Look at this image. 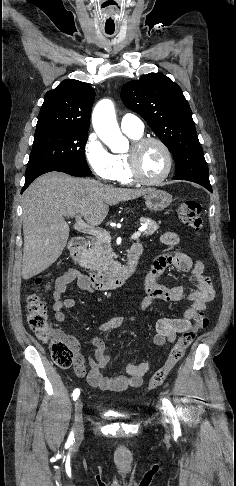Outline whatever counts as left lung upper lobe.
<instances>
[{
	"instance_id": "obj_1",
	"label": "left lung upper lobe",
	"mask_w": 236,
	"mask_h": 486,
	"mask_svg": "<svg viewBox=\"0 0 236 486\" xmlns=\"http://www.w3.org/2000/svg\"><path fill=\"white\" fill-rule=\"evenodd\" d=\"M121 98L171 151L175 179L211 186L190 106L176 83L161 73H149L126 83Z\"/></svg>"
}]
</instances>
